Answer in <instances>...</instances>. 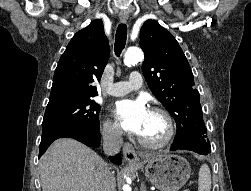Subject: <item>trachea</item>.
<instances>
[{
    "mask_svg": "<svg viewBox=\"0 0 251 191\" xmlns=\"http://www.w3.org/2000/svg\"><path fill=\"white\" fill-rule=\"evenodd\" d=\"M127 40V25L125 23H120L116 30V37H115V47L114 51L117 56H119L122 50L125 47Z\"/></svg>",
    "mask_w": 251,
    "mask_h": 191,
    "instance_id": "obj_1",
    "label": "trachea"
}]
</instances>
